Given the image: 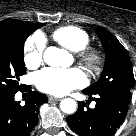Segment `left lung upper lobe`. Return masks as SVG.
I'll return each instance as SVG.
<instances>
[{
    "label": "left lung upper lobe",
    "mask_w": 136,
    "mask_h": 136,
    "mask_svg": "<svg viewBox=\"0 0 136 136\" xmlns=\"http://www.w3.org/2000/svg\"><path fill=\"white\" fill-rule=\"evenodd\" d=\"M95 31L103 44L106 62L99 81L85 90L90 93L110 90L132 91L134 87V76L126 49L105 28L97 27Z\"/></svg>",
    "instance_id": "5c2ea615"
}]
</instances>
